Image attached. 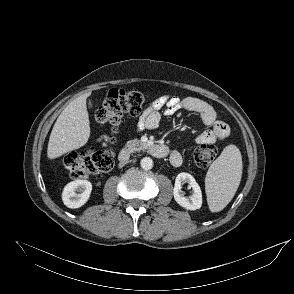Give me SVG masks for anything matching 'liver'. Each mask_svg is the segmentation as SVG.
<instances>
[{
    "instance_id": "obj_1",
    "label": "liver",
    "mask_w": 294,
    "mask_h": 294,
    "mask_svg": "<svg viewBox=\"0 0 294 294\" xmlns=\"http://www.w3.org/2000/svg\"><path fill=\"white\" fill-rule=\"evenodd\" d=\"M88 94L73 100L59 115L50 134L47 156L55 159L84 146L90 137Z\"/></svg>"
}]
</instances>
